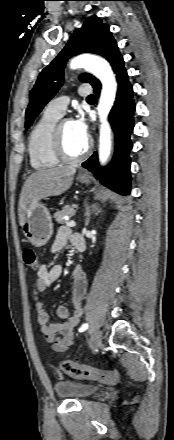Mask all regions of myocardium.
<instances>
[{"label": "myocardium", "mask_w": 174, "mask_h": 440, "mask_svg": "<svg viewBox=\"0 0 174 440\" xmlns=\"http://www.w3.org/2000/svg\"><path fill=\"white\" fill-rule=\"evenodd\" d=\"M64 122V121H63ZM59 123L55 126L54 136H53V151L55 156L61 161L65 163H76L85 158L91 149V141L87 140L85 149L76 156L69 155L64 146V139L62 134V123Z\"/></svg>", "instance_id": "obj_1"}]
</instances>
